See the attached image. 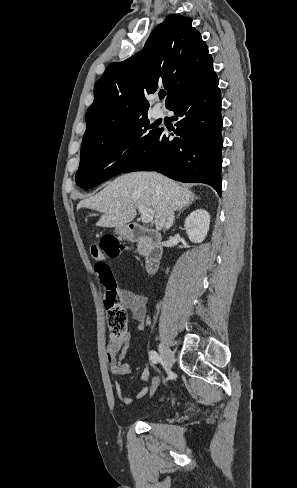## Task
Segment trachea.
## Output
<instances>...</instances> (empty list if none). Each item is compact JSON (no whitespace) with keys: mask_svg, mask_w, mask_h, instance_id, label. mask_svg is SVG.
I'll return each mask as SVG.
<instances>
[{"mask_svg":"<svg viewBox=\"0 0 297 488\" xmlns=\"http://www.w3.org/2000/svg\"><path fill=\"white\" fill-rule=\"evenodd\" d=\"M165 94H166L165 91H160L159 94H158L159 95V98L160 99H163L165 97Z\"/></svg>","mask_w":297,"mask_h":488,"instance_id":"obj_1","label":"trachea"}]
</instances>
